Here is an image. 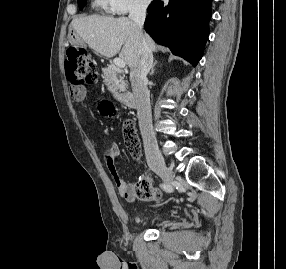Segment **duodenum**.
I'll return each instance as SVG.
<instances>
[{"instance_id":"410a0bca","label":"duodenum","mask_w":286,"mask_h":269,"mask_svg":"<svg viewBox=\"0 0 286 269\" xmlns=\"http://www.w3.org/2000/svg\"><path fill=\"white\" fill-rule=\"evenodd\" d=\"M123 104L131 109L137 108V101L135 96L132 93H125L122 97Z\"/></svg>"}]
</instances>
